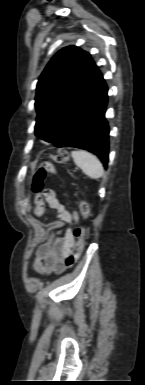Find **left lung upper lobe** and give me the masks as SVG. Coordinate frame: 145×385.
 <instances>
[{"label": "left lung upper lobe", "instance_id": "1", "mask_svg": "<svg viewBox=\"0 0 145 385\" xmlns=\"http://www.w3.org/2000/svg\"><path fill=\"white\" fill-rule=\"evenodd\" d=\"M96 66L90 55L68 46L57 52L39 77L35 135L50 142L64 117L85 92Z\"/></svg>", "mask_w": 145, "mask_h": 385}]
</instances>
